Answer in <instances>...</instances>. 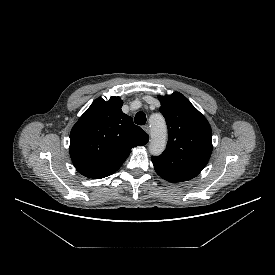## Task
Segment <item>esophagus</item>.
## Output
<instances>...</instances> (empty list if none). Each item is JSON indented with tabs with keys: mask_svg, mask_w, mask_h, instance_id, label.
Returning <instances> with one entry per match:
<instances>
[{
	"mask_svg": "<svg viewBox=\"0 0 275 275\" xmlns=\"http://www.w3.org/2000/svg\"><path fill=\"white\" fill-rule=\"evenodd\" d=\"M143 130H144L146 133H149V132H150L149 125H144V126H143Z\"/></svg>",
	"mask_w": 275,
	"mask_h": 275,
	"instance_id": "esophagus-1",
	"label": "esophagus"
}]
</instances>
